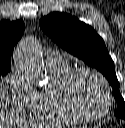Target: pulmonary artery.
<instances>
[{
  "label": "pulmonary artery",
  "mask_w": 125,
  "mask_h": 128,
  "mask_svg": "<svg viewBox=\"0 0 125 128\" xmlns=\"http://www.w3.org/2000/svg\"><path fill=\"white\" fill-rule=\"evenodd\" d=\"M66 61L65 55L60 51H50L46 56L47 64H61Z\"/></svg>",
  "instance_id": "pulmonary-artery-1"
}]
</instances>
